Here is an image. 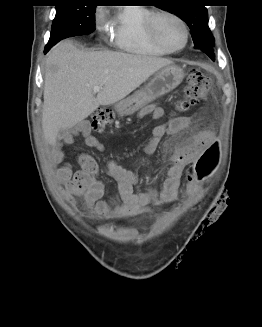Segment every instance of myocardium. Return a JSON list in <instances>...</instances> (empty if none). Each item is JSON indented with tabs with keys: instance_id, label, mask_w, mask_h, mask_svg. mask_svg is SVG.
I'll return each instance as SVG.
<instances>
[{
	"instance_id": "1",
	"label": "myocardium",
	"mask_w": 262,
	"mask_h": 327,
	"mask_svg": "<svg viewBox=\"0 0 262 327\" xmlns=\"http://www.w3.org/2000/svg\"><path fill=\"white\" fill-rule=\"evenodd\" d=\"M162 16L171 17V18L177 20L183 26L184 31H185V41L181 47H179V48L170 47L168 44H166L164 42V40L159 35L158 28H157V22H158V19ZM146 29H147V32L149 33L150 37L152 38V40L157 45H159L161 48L165 49L166 51H168L170 53H175V52H179V51L183 50L189 42L190 30H189L188 24L179 14H177L173 11H169V10H165V9H159L156 11H152L151 14L147 18Z\"/></svg>"
}]
</instances>
